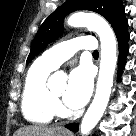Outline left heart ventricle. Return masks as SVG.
I'll return each instance as SVG.
<instances>
[{"label":"left heart ventricle","mask_w":136,"mask_h":136,"mask_svg":"<svg viewBox=\"0 0 136 136\" xmlns=\"http://www.w3.org/2000/svg\"><path fill=\"white\" fill-rule=\"evenodd\" d=\"M56 95H58V96H61L62 94H63V92H64V88L62 87V88H59V89H57V90H54L53 91Z\"/></svg>","instance_id":"1"}]
</instances>
